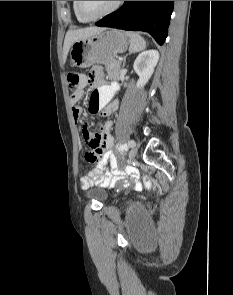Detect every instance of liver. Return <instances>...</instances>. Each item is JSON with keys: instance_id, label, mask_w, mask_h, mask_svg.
I'll list each match as a JSON object with an SVG mask.
<instances>
[{"instance_id": "1", "label": "liver", "mask_w": 233, "mask_h": 295, "mask_svg": "<svg viewBox=\"0 0 233 295\" xmlns=\"http://www.w3.org/2000/svg\"><path fill=\"white\" fill-rule=\"evenodd\" d=\"M104 28L100 27H88L78 30H69L66 33L64 46H63V61L65 62L67 59L68 52L72 44L76 41L86 39L98 32H101Z\"/></svg>"}]
</instances>
